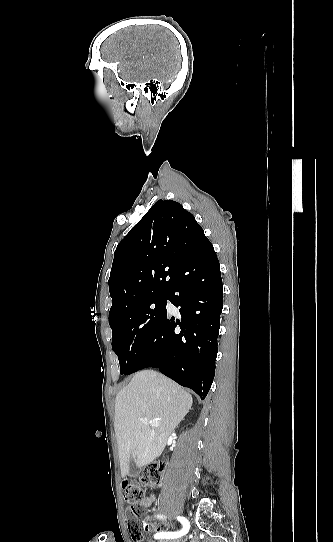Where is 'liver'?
<instances>
[{
    "instance_id": "6515ba94",
    "label": "liver",
    "mask_w": 333,
    "mask_h": 542,
    "mask_svg": "<svg viewBox=\"0 0 333 542\" xmlns=\"http://www.w3.org/2000/svg\"><path fill=\"white\" fill-rule=\"evenodd\" d=\"M193 404L191 394L153 370L137 372L115 400L114 430L122 478L129 476L130 458L137 468L161 456L171 432ZM140 418L159 420L160 426L143 424Z\"/></svg>"
}]
</instances>
